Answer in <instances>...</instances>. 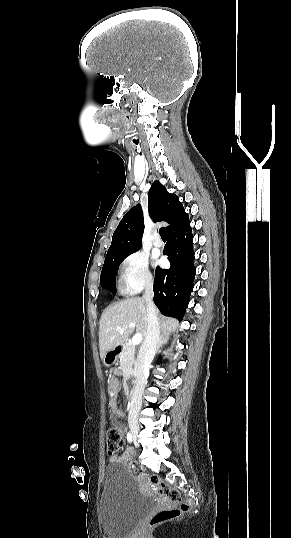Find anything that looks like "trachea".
<instances>
[{
  "instance_id": "obj_1",
  "label": "trachea",
  "mask_w": 291,
  "mask_h": 538,
  "mask_svg": "<svg viewBox=\"0 0 291 538\" xmlns=\"http://www.w3.org/2000/svg\"><path fill=\"white\" fill-rule=\"evenodd\" d=\"M159 234H160L162 239H166V229L164 227H161L159 229Z\"/></svg>"
}]
</instances>
